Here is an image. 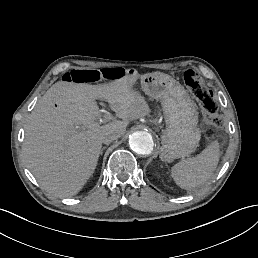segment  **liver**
Listing matches in <instances>:
<instances>
[{"mask_svg":"<svg viewBox=\"0 0 258 258\" xmlns=\"http://www.w3.org/2000/svg\"><path fill=\"white\" fill-rule=\"evenodd\" d=\"M152 73L144 74V76ZM127 76L108 86L59 81L36 104L25 124L23 156L37 182L58 197L75 195L94 170L106 130L125 133L129 119L146 116L144 99L132 91ZM96 98H104L121 120L101 127ZM76 125H86L85 131Z\"/></svg>","mask_w":258,"mask_h":258,"instance_id":"1","label":"liver"}]
</instances>
